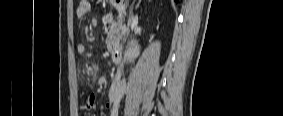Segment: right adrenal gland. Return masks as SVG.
<instances>
[{"label":"right adrenal gland","instance_id":"right-adrenal-gland-1","mask_svg":"<svg viewBox=\"0 0 283 116\" xmlns=\"http://www.w3.org/2000/svg\"><path fill=\"white\" fill-rule=\"evenodd\" d=\"M140 3H141V0L138 2V4H137L136 8H138V7H139Z\"/></svg>","mask_w":283,"mask_h":116}]
</instances>
